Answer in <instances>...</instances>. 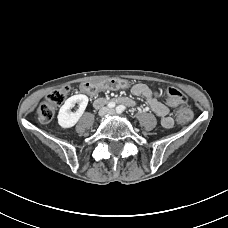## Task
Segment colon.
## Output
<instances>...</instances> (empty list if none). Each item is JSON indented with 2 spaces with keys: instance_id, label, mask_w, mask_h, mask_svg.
Masks as SVG:
<instances>
[{
  "instance_id": "obj_1",
  "label": "colon",
  "mask_w": 228,
  "mask_h": 228,
  "mask_svg": "<svg viewBox=\"0 0 228 228\" xmlns=\"http://www.w3.org/2000/svg\"><path fill=\"white\" fill-rule=\"evenodd\" d=\"M71 89L69 86H62L52 90L46 100L42 102L37 108V118L39 122L45 124L49 123L56 112V109L62 105L68 98ZM169 102L177 106L176 120L179 124L188 123L193 117L191 107L186 103V95L176 88L168 90Z\"/></svg>"
}]
</instances>
